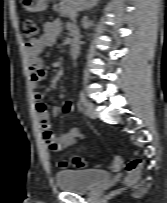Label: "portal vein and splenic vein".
<instances>
[{"label":"portal vein and splenic vein","instance_id":"portal-vein-and-splenic-vein-1","mask_svg":"<svg viewBox=\"0 0 167 203\" xmlns=\"http://www.w3.org/2000/svg\"><path fill=\"white\" fill-rule=\"evenodd\" d=\"M81 9H82V8L80 7L75 13H73V14L71 15V18L76 17V16H77V12L80 11Z\"/></svg>","mask_w":167,"mask_h":203}]
</instances>
